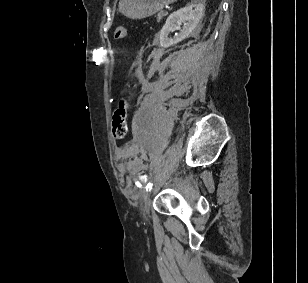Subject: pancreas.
<instances>
[{
	"mask_svg": "<svg viewBox=\"0 0 308 283\" xmlns=\"http://www.w3.org/2000/svg\"><path fill=\"white\" fill-rule=\"evenodd\" d=\"M167 14L163 11H160L158 14H157V20L158 21H161L163 19L164 16H166Z\"/></svg>",
	"mask_w": 308,
	"mask_h": 283,
	"instance_id": "cf45deb5",
	"label": "pancreas"
}]
</instances>
